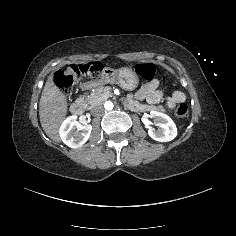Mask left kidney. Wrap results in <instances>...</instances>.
<instances>
[{
    "mask_svg": "<svg viewBox=\"0 0 236 236\" xmlns=\"http://www.w3.org/2000/svg\"><path fill=\"white\" fill-rule=\"evenodd\" d=\"M150 117L156 126V129L148 130L150 138L158 142H169L177 136V127L169 116L152 110Z\"/></svg>",
    "mask_w": 236,
    "mask_h": 236,
    "instance_id": "left-kidney-1",
    "label": "left kidney"
}]
</instances>
